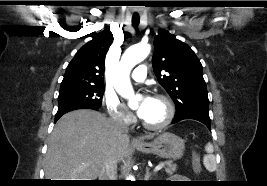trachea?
<instances>
[{
	"label": "trachea",
	"mask_w": 267,
	"mask_h": 186,
	"mask_svg": "<svg viewBox=\"0 0 267 186\" xmlns=\"http://www.w3.org/2000/svg\"><path fill=\"white\" fill-rule=\"evenodd\" d=\"M140 22V17L139 16H133L132 17V24L133 26H137Z\"/></svg>",
	"instance_id": "1"
}]
</instances>
